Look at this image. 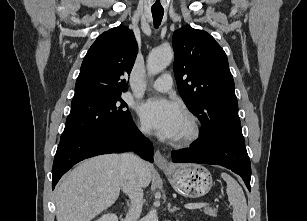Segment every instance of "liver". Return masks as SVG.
Instances as JSON below:
<instances>
[{"label":"liver","instance_id":"obj_1","mask_svg":"<svg viewBox=\"0 0 307 221\" xmlns=\"http://www.w3.org/2000/svg\"><path fill=\"white\" fill-rule=\"evenodd\" d=\"M123 173L124 158L120 154L83 161L55 189L57 221H90L109 208L119 196ZM151 178L152 165L144 162L139 171L141 186L147 187Z\"/></svg>","mask_w":307,"mask_h":221}]
</instances>
